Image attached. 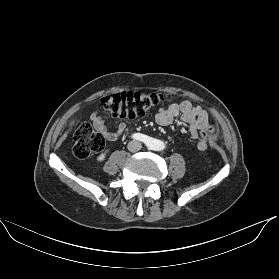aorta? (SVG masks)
Masks as SVG:
<instances>
[{"mask_svg":"<svg viewBox=\"0 0 279 279\" xmlns=\"http://www.w3.org/2000/svg\"><path fill=\"white\" fill-rule=\"evenodd\" d=\"M165 148V145L162 141L160 140H155L154 141V149L155 150H163Z\"/></svg>","mask_w":279,"mask_h":279,"instance_id":"obj_1","label":"aorta"}]
</instances>
